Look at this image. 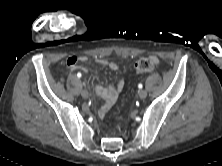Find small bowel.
Returning <instances> with one entry per match:
<instances>
[{"label": "small bowel", "instance_id": "c3829d8e", "mask_svg": "<svg viewBox=\"0 0 222 166\" xmlns=\"http://www.w3.org/2000/svg\"><path fill=\"white\" fill-rule=\"evenodd\" d=\"M155 61L156 58L152 57ZM85 56H70L67 61V67L69 69H76L78 67V63L82 61H86ZM97 62L102 66H107L113 71L118 70L119 66L117 63L113 61H108L104 58H99ZM82 71L87 72V70L83 67L80 68ZM125 85L124 80H119L116 84L111 85L109 87H103L101 85H95L93 87V91L95 95L103 100V103L99 107L98 114L100 117L104 116L105 113L112 107L115 101L118 98V95L123 90Z\"/></svg>", "mask_w": 222, "mask_h": 166}]
</instances>
